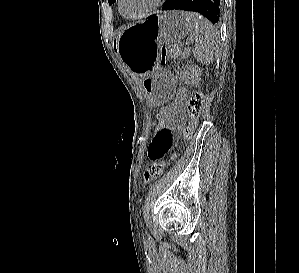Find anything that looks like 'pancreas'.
<instances>
[{"mask_svg": "<svg viewBox=\"0 0 299 273\" xmlns=\"http://www.w3.org/2000/svg\"><path fill=\"white\" fill-rule=\"evenodd\" d=\"M190 55V50L189 49H184L183 51H179L176 53V56L181 57V58H186Z\"/></svg>", "mask_w": 299, "mask_h": 273, "instance_id": "1", "label": "pancreas"}]
</instances>
